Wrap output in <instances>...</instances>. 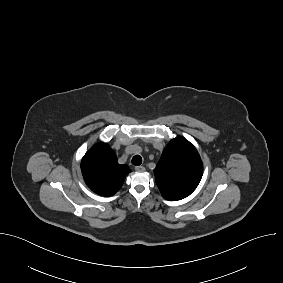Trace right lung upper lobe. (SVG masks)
<instances>
[{
  "label": "right lung upper lobe",
  "instance_id": "cb5924a9",
  "mask_svg": "<svg viewBox=\"0 0 283 283\" xmlns=\"http://www.w3.org/2000/svg\"><path fill=\"white\" fill-rule=\"evenodd\" d=\"M81 169L88 187L102 196L115 194L131 172L127 165L118 164L114 151L106 143L96 144L85 154Z\"/></svg>",
  "mask_w": 283,
  "mask_h": 283
}]
</instances>
